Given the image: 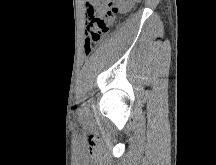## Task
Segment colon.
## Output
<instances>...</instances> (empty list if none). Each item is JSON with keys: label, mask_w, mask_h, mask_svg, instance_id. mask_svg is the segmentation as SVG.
<instances>
[{"label": "colon", "mask_w": 216, "mask_h": 165, "mask_svg": "<svg viewBox=\"0 0 216 165\" xmlns=\"http://www.w3.org/2000/svg\"><path fill=\"white\" fill-rule=\"evenodd\" d=\"M124 0H108V10L104 13H96L94 10H87V26L85 33L84 49L90 53L106 35L119 15Z\"/></svg>", "instance_id": "1"}]
</instances>
